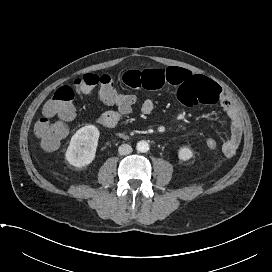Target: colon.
<instances>
[{
  "mask_svg": "<svg viewBox=\"0 0 272 272\" xmlns=\"http://www.w3.org/2000/svg\"><path fill=\"white\" fill-rule=\"evenodd\" d=\"M98 88L100 100L124 112H130L137 102L131 93L119 92L109 75L85 74L74 80L71 86L58 88L43 107V117L35 125V133L46 150H54L68 134V122L74 117L73 100L75 94L88 96ZM58 117L57 120H52ZM206 146L215 150L218 142L214 138L206 140Z\"/></svg>",
  "mask_w": 272,
  "mask_h": 272,
  "instance_id": "obj_1",
  "label": "colon"
}]
</instances>
